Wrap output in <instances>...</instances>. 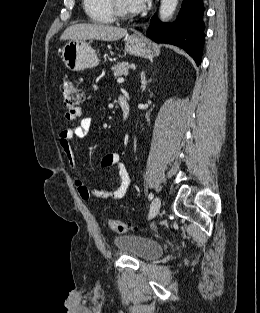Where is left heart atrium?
Wrapping results in <instances>:
<instances>
[{"mask_svg":"<svg viewBox=\"0 0 260 313\" xmlns=\"http://www.w3.org/2000/svg\"><path fill=\"white\" fill-rule=\"evenodd\" d=\"M132 12L142 11L148 4L149 0H127Z\"/></svg>","mask_w":260,"mask_h":313,"instance_id":"1","label":"left heart atrium"}]
</instances>
